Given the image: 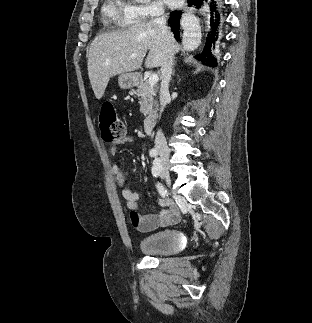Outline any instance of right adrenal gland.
I'll use <instances>...</instances> for the list:
<instances>
[{
    "instance_id": "2a0ac1e0",
    "label": "right adrenal gland",
    "mask_w": 312,
    "mask_h": 323,
    "mask_svg": "<svg viewBox=\"0 0 312 323\" xmlns=\"http://www.w3.org/2000/svg\"><path fill=\"white\" fill-rule=\"evenodd\" d=\"M174 66H175V62H174V64H173V68H174ZM172 76H175V72H174V70H173V74H172Z\"/></svg>"
}]
</instances>
